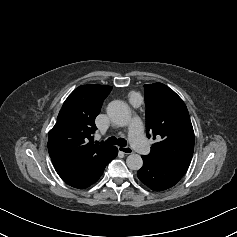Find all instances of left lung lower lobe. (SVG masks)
I'll return each mask as SVG.
<instances>
[{"mask_svg":"<svg viewBox=\"0 0 237 237\" xmlns=\"http://www.w3.org/2000/svg\"><path fill=\"white\" fill-rule=\"evenodd\" d=\"M142 158L143 167L138 171V178L154 191H162L174 186L185 173L145 156Z\"/></svg>","mask_w":237,"mask_h":237,"instance_id":"left-lung-lower-lobe-1","label":"left lung lower lobe"}]
</instances>
